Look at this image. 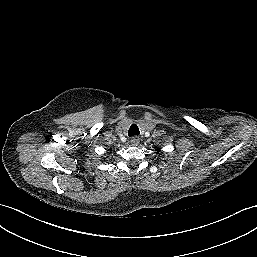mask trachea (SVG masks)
Masks as SVG:
<instances>
[{
    "instance_id": "3493384b",
    "label": "trachea",
    "mask_w": 257,
    "mask_h": 257,
    "mask_svg": "<svg viewBox=\"0 0 257 257\" xmlns=\"http://www.w3.org/2000/svg\"><path fill=\"white\" fill-rule=\"evenodd\" d=\"M140 134L139 128L136 124H132L129 128L128 135L131 136H138Z\"/></svg>"
}]
</instances>
